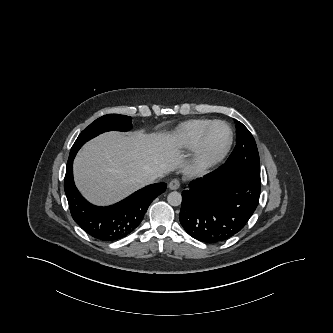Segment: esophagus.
<instances>
[{
    "label": "esophagus",
    "instance_id": "esophagus-1",
    "mask_svg": "<svg viewBox=\"0 0 333 333\" xmlns=\"http://www.w3.org/2000/svg\"><path fill=\"white\" fill-rule=\"evenodd\" d=\"M168 186L171 190H177V189L180 188L181 183L178 179H173V180L170 181Z\"/></svg>",
    "mask_w": 333,
    "mask_h": 333
}]
</instances>
